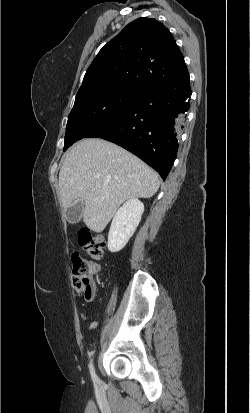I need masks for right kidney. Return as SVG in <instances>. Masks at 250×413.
I'll use <instances>...</instances> for the list:
<instances>
[{
  "mask_svg": "<svg viewBox=\"0 0 250 413\" xmlns=\"http://www.w3.org/2000/svg\"><path fill=\"white\" fill-rule=\"evenodd\" d=\"M144 212V204L137 198L126 201L116 212L108 234V249L118 252L134 234Z\"/></svg>",
  "mask_w": 250,
  "mask_h": 413,
  "instance_id": "ca27d5eb",
  "label": "right kidney"
}]
</instances>
